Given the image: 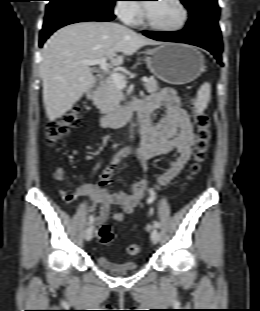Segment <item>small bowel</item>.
<instances>
[{"label":"small bowel","mask_w":260,"mask_h":311,"mask_svg":"<svg viewBox=\"0 0 260 311\" xmlns=\"http://www.w3.org/2000/svg\"><path fill=\"white\" fill-rule=\"evenodd\" d=\"M142 104L143 109L140 113L141 147L125 149L117 154L113 165L106 168L101 175L100 184L102 187L83 185L74 191L68 189L60 191L62 198L68 203L83 194L91 196L99 205L98 214L93 216L95 225L106 221L112 205L119 207L114 212L113 219L116 222L123 221L125 215L134 211L146 191L147 181L145 178L133 186L131 194L108 190L106 187L113 183L112 173L116 164L133 157L145 169L149 159L176 153L169 166L159 177L157 184L159 188L170 183L191 157L192 146L195 142L193 126L188 113L181 106L175 90L162 89L148 97ZM160 108H164V113L157 122H152L151 114ZM98 167L99 162L97 161L93 165L92 173H95ZM53 178L58 182H65L67 179L65 169L62 167L55 169Z\"/></svg>","instance_id":"obj_1"}]
</instances>
